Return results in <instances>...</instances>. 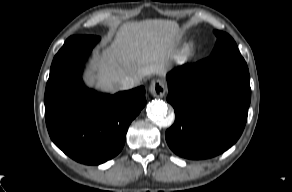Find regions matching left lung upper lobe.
<instances>
[{"instance_id":"left-lung-upper-lobe-1","label":"left lung upper lobe","mask_w":292,"mask_h":192,"mask_svg":"<svg viewBox=\"0 0 292 192\" xmlns=\"http://www.w3.org/2000/svg\"><path fill=\"white\" fill-rule=\"evenodd\" d=\"M214 33L217 36V42L211 56H215L221 53L240 54L235 41L230 35L217 30H214Z\"/></svg>"}]
</instances>
